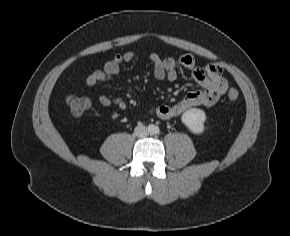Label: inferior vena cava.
<instances>
[{
    "instance_id": "602c4592",
    "label": "inferior vena cava",
    "mask_w": 290,
    "mask_h": 236,
    "mask_svg": "<svg viewBox=\"0 0 290 236\" xmlns=\"http://www.w3.org/2000/svg\"><path fill=\"white\" fill-rule=\"evenodd\" d=\"M134 134L138 137H145L148 135V130L147 127L144 126L143 124L138 125L135 129H134Z\"/></svg>"
}]
</instances>
